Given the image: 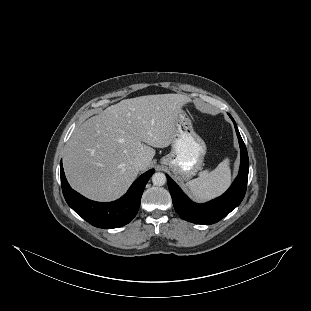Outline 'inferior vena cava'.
<instances>
[{
    "label": "inferior vena cava",
    "mask_w": 311,
    "mask_h": 311,
    "mask_svg": "<svg viewBox=\"0 0 311 311\" xmlns=\"http://www.w3.org/2000/svg\"><path fill=\"white\" fill-rule=\"evenodd\" d=\"M134 166L140 167L142 165V160L140 158L135 159Z\"/></svg>",
    "instance_id": "1"
}]
</instances>
